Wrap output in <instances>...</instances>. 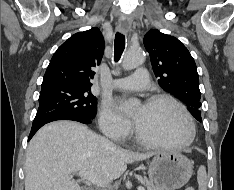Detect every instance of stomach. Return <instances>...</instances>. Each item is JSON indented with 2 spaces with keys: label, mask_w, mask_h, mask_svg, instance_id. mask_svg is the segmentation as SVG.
Instances as JSON below:
<instances>
[{
  "label": "stomach",
  "mask_w": 234,
  "mask_h": 190,
  "mask_svg": "<svg viewBox=\"0 0 234 190\" xmlns=\"http://www.w3.org/2000/svg\"><path fill=\"white\" fill-rule=\"evenodd\" d=\"M193 165L177 152H160L155 155L148 169L150 182L161 190H176L191 178Z\"/></svg>",
  "instance_id": "obj_1"
}]
</instances>
